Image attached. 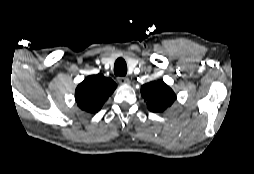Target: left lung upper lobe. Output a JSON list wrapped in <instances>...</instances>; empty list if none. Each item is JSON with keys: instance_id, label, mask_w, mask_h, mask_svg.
Returning <instances> with one entry per match:
<instances>
[{"instance_id": "5c2ea615", "label": "left lung upper lobe", "mask_w": 254, "mask_h": 174, "mask_svg": "<svg viewBox=\"0 0 254 174\" xmlns=\"http://www.w3.org/2000/svg\"><path fill=\"white\" fill-rule=\"evenodd\" d=\"M141 94L152 112H163L176 99L173 90L163 81H154L141 87Z\"/></svg>"}]
</instances>
